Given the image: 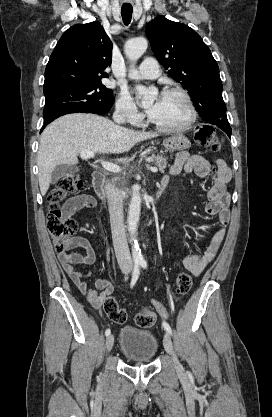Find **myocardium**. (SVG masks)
<instances>
[{"instance_id": "obj_1", "label": "myocardium", "mask_w": 272, "mask_h": 417, "mask_svg": "<svg viewBox=\"0 0 272 417\" xmlns=\"http://www.w3.org/2000/svg\"><path fill=\"white\" fill-rule=\"evenodd\" d=\"M162 95L181 96L188 107L189 117L185 123L179 126H163L153 121L151 117L148 119L149 123L157 130L164 133H180L187 131L197 119V109L191 95L185 89L179 87L168 88L162 92Z\"/></svg>"}]
</instances>
